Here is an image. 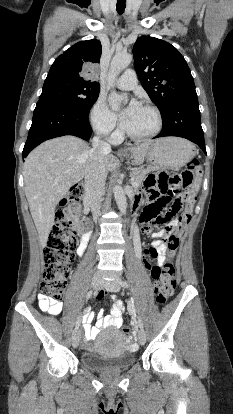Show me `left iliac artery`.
Returning a JSON list of instances; mask_svg holds the SVG:
<instances>
[{"instance_id":"1","label":"left iliac artery","mask_w":233,"mask_h":414,"mask_svg":"<svg viewBox=\"0 0 233 414\" xmlns=\"http://www.w3.org/2000/svg\"><path fill=\"white\" fill-rule=\"evenodd\" d=\"M120 285H121L122 287H124V288H128V284H127V282H126V281L120 280ZM138 324H139V327H140L141 329H143V323H142V321H141L140 319L138 320Z\"/></svg>"}]
</instances>
